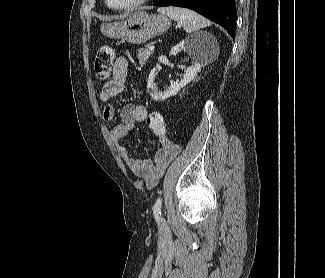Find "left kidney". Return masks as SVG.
Returning a JSON list of instances; mask_svg holds the SVG:
<instances>
[{"mask_svg": "<svg viewBox=\"0 0 325 278\" xmlns=\"http://www.w3.org/2000/svg\"><path fill=\"white\" fill-rule=\"evenodd\" d=\"M181 51L187 52L192 57L194 64L185 69V73L180 80L170 81V86L164 91L157 89L154 83L157 69H152L147 82V90L154 100H166L176 95L181 88L195 78L196 74L204 66L205 44L202 36L196 35L185 38L171 49L170 54L176 56Z\"/></svg>", "mask_w": 325, "mask_h": 278, "instance_id": "obj_1", "label": "left kidney"}]
</instances>
